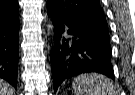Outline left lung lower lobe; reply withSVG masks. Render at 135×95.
I'll return each instance as SVG.
<instances>
[{
    "instance_id": "obj_1",
    "label": "left lung lower lobe",
    "mask_w": 135,
    "mask_h": 95,
    "mask_svg": "<svg viewBox=\"0 0 135 95\" xmlns=\"http://www.w3.org/2000/svg\"><path fill=\"white\" fill-rule=\"evenodd\" d=\"M47 11L55 37L50 52L54 92L65 79L81 73H101L115 80L108 30L71 21L48 7Z\"/></svg>"
}]
</instances>
